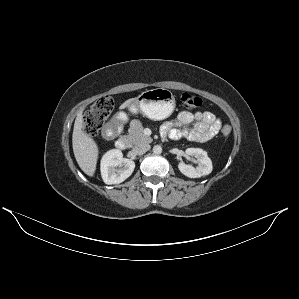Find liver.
<instances>
[{"instance_id": "1", "label": "liver", "mask_w": 299, "mask_h": 299, "mask_svg": "<svg viewBox=\"0 0 299 299\" xmlns=\"http://www.w3.org/2000/svg\"><path fill=\"white\" fill-rule=\"evenodd\" d=\"M135 101V98L125 101L120 108L124 109ZM83 112L80 111L75 119L72 134V146L74 156L79 167L88 176H93L98 159V147L96 142L82 131Z\"/></svg>"}]
</instances>
